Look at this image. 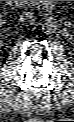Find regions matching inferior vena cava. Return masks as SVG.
<instances>
[{
	"mask_svg": "<svg viewBox=\"0 0 74 122\" xmlns=\"http://www.w3.org/2000/svg\"><path fill=\"white\" fill-rule=\"evenodd\" d=\"M20 21L25 25H32L35 22L34 13L31 11H23L20 15Z\"/></svg>",
	"mask_w": 74,
	"mask_h": 122,
	"instance_id": "obj_1",
	"label": "inferior vena cava"
}]
</instances>
